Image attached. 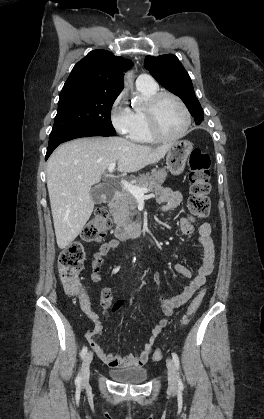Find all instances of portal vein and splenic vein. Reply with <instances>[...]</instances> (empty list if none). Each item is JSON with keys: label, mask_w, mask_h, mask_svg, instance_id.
<instances>
[{"label": "portal vein and splenic vein", "mask_w": 264, "mask_h": 419, "mask_svg": "<svg viewBox=\"0 0 264 419\" xmlns=\"http://www.w3.org/2000/svg\"><path fill=\"white\" fill-rule=\"evenodd\" d=\"M116 167V163L113 162L108 166L109 173H112ZM121 184L127 189L135 198H144L146 193L149 192L148 188H140L126 180H121Z\"/></svg>", "instance_id": "1"}]
</instances>
